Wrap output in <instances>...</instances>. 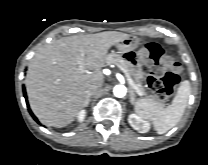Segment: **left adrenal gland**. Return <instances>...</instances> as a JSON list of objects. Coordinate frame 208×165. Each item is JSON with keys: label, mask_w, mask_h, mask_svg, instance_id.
<instances>
[{"label": "left adrenal gland", "mask_w": 208, "mask_h": 165, "mask_svg": "<svg viewBox=\"0 0 208 165\" xmlns=\"http://www.w3.org/2000/svg\"><path fill=\"white\" fill-rule=\"evenodd\" d=\"M135 101V93L133 90H130V103L134 104Z\"/></svg>", "instance_id": "a2214340"}]
</instances>
